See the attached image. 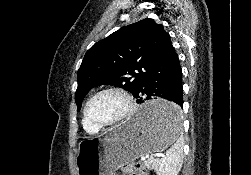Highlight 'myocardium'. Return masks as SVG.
<instances>
[{"label": "myocardium", "mask_w": 251, "mask_h": 175, "mask_svg": "<svg viewBox=\"0 0 251 175\" xmlns=\"http://www.w3.org/2000/svg\"><path fill=\"white\" fill-rule=\"evenodd\" d=\"M107 91H117V92H120L124 96V99L126 102L125 114L118 121L111 123V124H101L96 121L90 120L89 108H90L92 101L98 95H100L104 92H107ZM134 112H135V103H134V100H133L132 96L130 95V93L125 88H123L121 86L113 85V86H107L105 88L98 90L88 99V101L86 102L85 107H84L83 119L86 122H90L94 128H96L98 130H105V129L115 128V127L127 122L134 115Z\"/></svg>", "instance_id": "myocardium-1"}]
</instances>
